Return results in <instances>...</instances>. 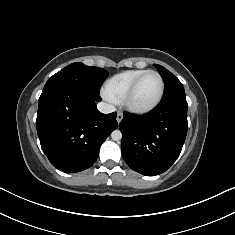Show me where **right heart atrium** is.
I'll return each instance as SVG.
<instances>
[{
  "label": "right heart atrium",
  "mask_w": 235,
  "mask_h": 235,
  "mask_svg": "<svg viewBox=\"0 0 235 235\" xmlns=\"http://www.w3.org/2000/svg\"><path fill=\"white\" fill-rule=\"evenodd\" d=\"M102 96L109 102H114L110 96H108L104 91H102Z\"/></svg>",
  "instance_id": "1"
}]
</instances>
